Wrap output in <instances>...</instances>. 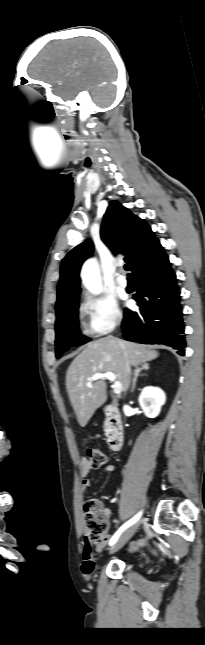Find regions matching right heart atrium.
Masks as SVG:
<instances>
[{"label":"right heart atrium","mask_w":205,"mask_h":645,"mask_svg":"<svg viewBox=\"0 0 205 645\" xmlns=\"http://www.w3.org/2000/svg\"><path fill=\"white\" fill-rule=\"evenodd\" d=\"M79 309L86 319V330L90 335H107L123 322V313L110 296L87 294Z\"/></svg>","instance_id":"1"}]
</instances>
